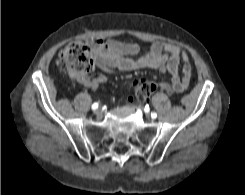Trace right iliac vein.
<instances>
[{
  "label": "right iliac vein",
  "mask_w": 245,
  "mask_h": 195,
  "mask_svg": "<svg viewBox=\"0 0 245 195\" xmlns=\"http://www.w3.org/2000/svg\"><path fill=\"white\" fill-rule=\"evenodd\" d=\"M94 113L97 115V116H100L101 115V109H97L94 111Z\"/></svg>",
  "instance_id": "1"
}]
</instances>
